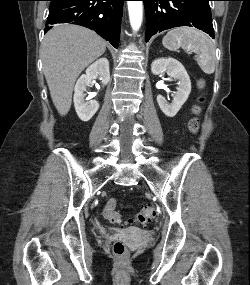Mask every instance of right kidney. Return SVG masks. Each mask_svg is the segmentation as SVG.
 <instances>
[{"instance_id":"obj_1","label":"right kidney","mask_w":250,"mask_h":285,"mask_svg":"<svg viewBox=\"0 0 250 285\" xmlns=\"http://www.w3.org/2000/svg\"><path fill=\"white\" fill-rule=\"evenodd\" d=\"M96 78H99L103 86L109 83V61L106 58H100L91 64L76 82L73 101L78 117L84 122L89 121L99 109V103L96 100L85 101L84 99L86 88Z\"/></svg>"}]
</instances>
